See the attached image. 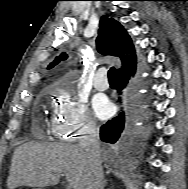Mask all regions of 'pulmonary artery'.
<instances>
[{"instance_id":"obj_1","label":"pulmonary artery","mask_w":188,"mask_h":189,"mask_svg":"<svg viewBox=\"0 0 188 189\" xmlns=\"http://www.w3.org/2000/svg\"><path fill=\"white\" fill-rule=\"evenodd\" d=\"M93 86L100 91L106 90L108 88V80L105 69L101 68L97 70L94 76Z\"/></svg>"}]
</instances>
